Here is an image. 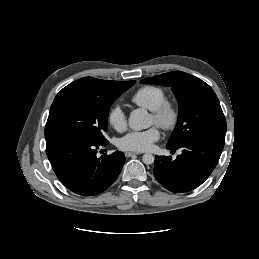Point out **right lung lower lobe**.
Listing matches in <instances>:
<instances>
[{
	"instance_id": "obj_1",
	"label": "right lung lower lobe",
	"mask_w": 259,
	"mask_h": 259,
	"mask_svg": "<svg viewBox=\"0 0 259 259\" xmlns=\"http://www.w3.org/2000/svg\"><path fill=\"white\" fill-rule=\"evenodd\" d=\"M99 143L84 139H60L46 142V153L61 183L82 196L97 195L117 178L125 162V155L116 151L97 157Z\"/></svg>"
}]
</instances>
